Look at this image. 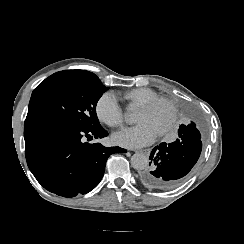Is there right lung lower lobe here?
I'll return each mask as SVG.
<instances>
[{"label":"right lung lower lobe","instance_id":"right-lung-lower-lobe-1","mask_svg":"<svg viewBox=\"0 0 244 244\" xmlns=\"http://www.w3.org/2000/svg\"><path fill=\"white\" fill-rule=\"evenodd\" d=\"M107 135L101 126L86 130L47 117H27L24 138L28 167L50 192L64 197L88 193L101 181L108 157L126 152L85 141Z\"/></svg>","mask_w":244,"mask_h":244}]
</instances>
